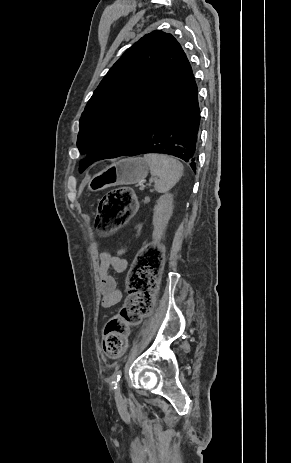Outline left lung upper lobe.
<instances>
[{
	"mask_svg": "<svg viewBox=\"0 0 291 463\" xmlns=\"http://www.w3.org/2000/svg\"><path fill=\"white\" fill-rule=\"evenodd\" d=\"M194 79L181 45L160 30L144 35L110 68L79 121L77 146L95 161L132 149Z\"/></svg>",
	"mask_w": 291,
	"mask_h": 463,
	"instance_id": "left-lung-upper-lobe-1",
	"label": "left lung upper lobe"
}]
</instances>
